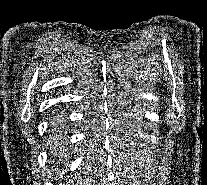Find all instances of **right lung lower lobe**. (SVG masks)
Segmentation results:
<instances>
[{"label":"right lung lower lobe","instance_id":"obj_1","mask_svg":"<svg viewBox=\"0 0 207 185\" xmlns=\"http://www.w3.org/2000/svg\"><path fill=\"white\" fill-rule=\"evenodd\" d=\"M61 124H62V121H60V120L56 121V127L60 128Z\"/></svg>","mask_w":207,"mask_h":185}]
</instances>
